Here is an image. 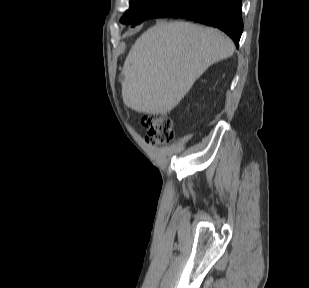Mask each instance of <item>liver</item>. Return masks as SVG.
Returning a JSON list of instances; mask_svg holds the SVG:
<instances>
[{
    "label": "liver",
    "mask_w": 309,
    "mask_h": 288,
    "mask_svg": "<svg viewBox=\"0 0 309 288\" xmlns=\"http://www.w3.org/2000/svg\"><path fill=\"white\" fill-rule=\"evenodd\" d=\"M233 53V42L218 29L159 22L136 40L126 57L124 104L139 113H169L208 67Z\"/></svg>",
    "instance_id": "6515ba94"
}]
</instances>
